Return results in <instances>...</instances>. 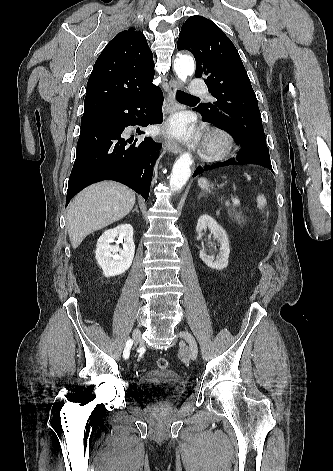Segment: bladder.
Masks as SVG:
<instances>
[{
	"label": "bladder",
	"mask_w": 333,
	"mask_h": 471,
	"mask_svg": "<svg viewBox=\"0 0 333 471\" xmlns=\"http://www.w3.org/2000/svg\"><path fill=\"white\" fill-rule=\"evenodd\" d=\"M186 381L172 369H152L145 372L135 384L139 398L171 402L182 395Z\"/></svg>",
	"instance_id": "31cf9c89"
}]
</instances>
